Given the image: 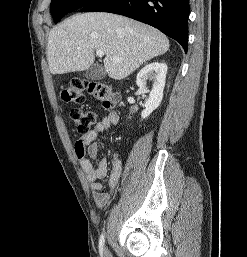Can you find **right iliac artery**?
<instances>
[{
	"label": "right iliac artery",
	"mask_w": 247,
	"mask_h": 257,
	"mask_svg": "<svg viewBox=\"0 0 247 257\" xmlns=\"http://www.w3.org/2000/svg\"><path fill=\"white\" fill-rule=\"evenodd\" d=\"M104 243H105V235H104V234H101V236H100V238H99V251H100L101 256L103 255V246H104Z\"/></svg>",
	"instance_id": "obj_1"
}]
</instances>
